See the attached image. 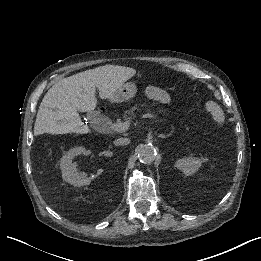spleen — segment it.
<instances>
[{"label":"spleen","instance_id":"spleen-1","mask_svg":"<svg viewBox=\"0 0 261 261\" xmlns=\"http://www.w3.org/2000/svg\"><path fill=\"white\" fill-rule=\"evenodd\" d=\"M206 110L212 115L213 121L220 128L225 127V113L216 103L210 101L206 103Z\"/></svg>","mask_w":261,"mask_h":261}]
</instances>
